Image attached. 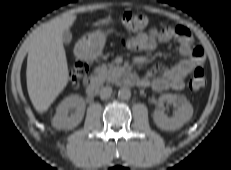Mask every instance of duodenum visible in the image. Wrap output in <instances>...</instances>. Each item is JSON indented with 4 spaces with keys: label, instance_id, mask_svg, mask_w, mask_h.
Here are the masks:
<instances>
[{
    "label": "duodenum",
    "instance_id": "1",
    "mask_svg": "<svg viewBox=\"0 0 231 170\" xmlns=\"http://www.w3.org/2000/svg\"><path fill=\"white\" fill-rule=\"evenodd\" d=\"M121 80L126 83V84H139V79L137 77V75L130 69V68H123L122 74H121ZM102 85V79L99 76H94L87 88H86V93L88 98L92 99L94 98Z\"/></svg>",
    "mask_w": 231,
    "mask_h": 170
}]
</instances>
